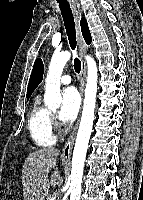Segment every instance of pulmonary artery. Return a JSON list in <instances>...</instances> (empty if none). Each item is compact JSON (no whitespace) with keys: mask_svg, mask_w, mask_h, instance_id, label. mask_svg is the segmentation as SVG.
<instances>
[{"mask_svg":"<svg viewBox=\"0 0 143 200\" xmlns=\"http://www.w3.org/2000/svg\"><path fill=\"white\" fill-rule=\"evenodd\" d=\"M71 76L70 75H63L61 78H60V82L62 83V84H69V83H71Z\"/></svg>","mask_w":143,"mask_h":200,"instance_id":"1","label":"pulmonary artery"}]
</instances>
